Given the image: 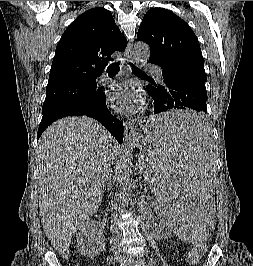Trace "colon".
Segmentation results:
<instances>
[{
  "instance_id": "colon-1",
  "label": "colon",
  "mask_w": 253,
  "mask_h": 266,
  "mask_svg": "<svg viewBox=\"0 0 253 266\" xmlns=\"http://www.w3.org/2000/svg\"><path fill=\"white\" fill-rule=\"evenodd\" d=\"M205 248H194L188 255V263L190 265H196L200 261L201 254Z\"/></svg>"
}]
</instances>
